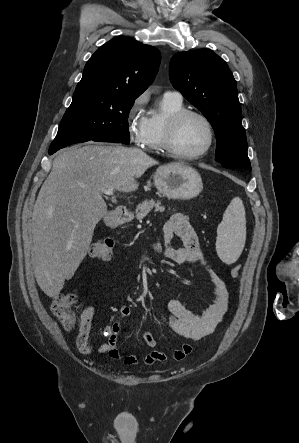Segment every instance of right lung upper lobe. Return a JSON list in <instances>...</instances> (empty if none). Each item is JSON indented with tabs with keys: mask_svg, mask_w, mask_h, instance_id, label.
Masks as SVG:
<instances>
[{
	"mask_svg": "<svg viewBox=\"0 0 299 443\" xmlns=\"http://www.w3.org/2000/svg\"><path fill=\"white\" fill-rule=\"evenodd\" d=\"M160 59L157 48L130 37H116L87 61L75 92L101 91L136 99L153 82Z\"/></svg>",
	"mask_w": 299,
	"mask_h": 443,
	"instance_id": "right-lung-upper-lobe-1",
	"label": "right lung upper lobe"
}]
</instances>
